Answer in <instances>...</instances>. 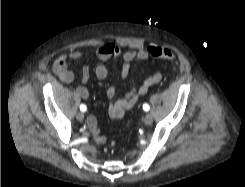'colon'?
Returning <instances> with one entry per match:
<instances>
[{
	"mask_svg": "<svg viewBox=\"0 0 245 187\" xmlns=\"http://www.w3.org/2000/svg\"><path fill=\"white\" fill-rule=\"evenodd\" d=\"M148 53L151 57L171 62L172 66L175 68L176 67V59H175V54L173 53L172 50H170L167 47H163L160 45L152 44L148 47Z\"/></svg>",
	"mask_w": 245,
	"mask_h": 187,
	"instance_id": "obj_1",
	"label": "colon"
}]
</instances>
